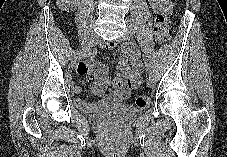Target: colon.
I'll use <instances>...</instances> for the list:
<instances>
[{
    "mask_svg": "<svg viewBox=\"0 0 227 157\" xmlns=\"http://www.w3.org/2000/svg\"><path fill=\"white\" fill-rule=\"evenodd\" d=\"M154 30L155 36L159 41L165 42L168 40L170 31L163 15H158L156 17ZM135 102L139 108L145 109L149 106L150 99L147 96H138L135 99Z\"/></svg>",
    "mask_w": 227,
    "mask_h": 157,
    "instance_id": "5ec220e1",
    "label": "colon"
}]
</instances>
